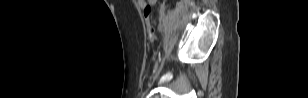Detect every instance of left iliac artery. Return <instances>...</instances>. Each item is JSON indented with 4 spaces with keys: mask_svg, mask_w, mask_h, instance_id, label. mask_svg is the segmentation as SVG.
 Wrapping results in <instances>:
<instances>
[{
    "mask_svg": "<svg viewBox=\"0 0 308 98\" xmlns=\"http://www.w3.org/2000/svg\"><path fill=\"white\" fill-rule=\"evenodd\" d=\"M156 29H157L158 31H161L162 34H165V33H166L165 26H164L163 24H158V25L156 26ZM156 68H157V64H156V66H155V69H156ZM155 69H154V72H155Z\"/></svg>",
    "mask_w": 308,
    "mask_h": 98,
    "instance_id": "obj_1",
    "label": "left iliac artery"
}]
</instances>
